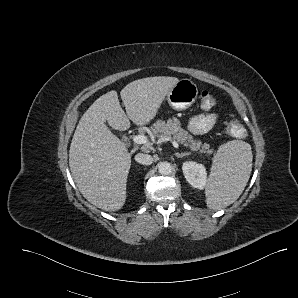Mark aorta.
<instances>
[{"label":"aorta","mask_w":298,"mask_h":298,"mask_svg":"<svg viewBox=\"0 0 298 298\" xmlns=\"http://www.w3.org/2000/svg\"><path fill=\"white\" fill-rule=\"evenodd\" d=\"M173 170V166L170 162L168 161H162L158 164V172L161 174V175H169L171 174Z\"/></svg>","instance_id":"1"}]
</instances>
